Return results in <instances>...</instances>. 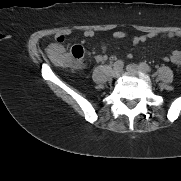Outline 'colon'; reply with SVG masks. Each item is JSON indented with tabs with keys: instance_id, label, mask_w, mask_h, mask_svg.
Returning a JSON list of instances; mask_svg holds the SVG:
<instances>
[{
	"instance_id": "obj_1",
	"label": "colon",
	"mask_w": 181,
	"mask_h": 181,
	"mask_svg": "<svg viewBox=\"0 0 181 181\" xmlns=\"http://www.w3.org/2000/svg\"><path fill=\"white\" fill-rule=\"evenodd\" d=\"M57 41L63 42L64 37L58 38ZM83 55V47L81 45H75L71 50L70 56L62 54L56 59L55 62L61 67H77L83 65Z\"/></svg>"
}]
</instances>
